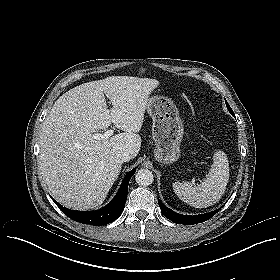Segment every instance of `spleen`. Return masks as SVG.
<instances>
[{"mask_svg": "<svg viewBox=\"0 0 280 280\" xmlns=\"http://www.w3.org/2000/svg\"><path fill=\"white\" fill-rule=\"evenodd\" d=\"M206 179L200 184L173 183L175 194L184 202L197 208H206L218 202L229 181V163L223 151H216Z\"/></svg>", "mask_w": 280, "mask_h": 280, "instance_id": "spleen-1", "label": "spleen"}]
</instances>
